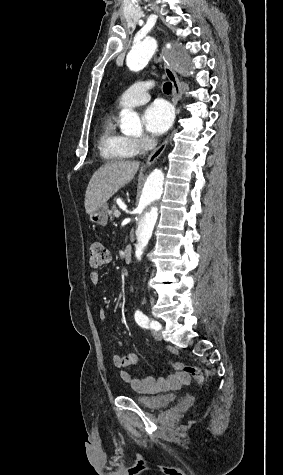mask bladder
<instances>
[{"mask_svg":"<svg viewBox=\"0 0 283 475\" xmlns=\"http://www.w3.org/2000/svg\"><path fill=\"white\" fill-rule=\"evenodd\" d=\"M131 399L137 403L140 407L153 411L159 408H165L169 404L173 403L177 398L174 395L161 394L153 396H141L138 394H131Z\"/></svg>","mask_w":283,"mask_h":475,"instance_id":"31cf9c89","label":"bladder"}]
</instances>
